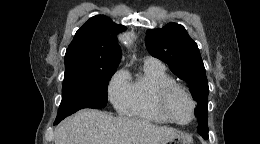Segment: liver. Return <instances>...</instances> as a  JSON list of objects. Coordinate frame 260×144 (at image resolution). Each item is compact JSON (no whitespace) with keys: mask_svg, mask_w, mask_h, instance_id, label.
<instances>
[{"mask_svg":"<svg viewBox=\"0 0 260 144\" xmlns=\"http://www.w3.org/2000/svg\"><path fill=\"white\" fill-rule=\"evenodd\" d=\"M177 131L129 117L83 109L55 129V144H162Z\"/></svg>","mask_w":260,"mask_h":144,"instance_id":"obj_1","label":"liver"}]
</instances>
